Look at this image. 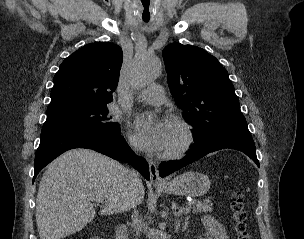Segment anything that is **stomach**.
Returning a JSON list of instances; mask_svg holds the SVG:
<instances>
[{"instance_id":"0dacf381","label":"stomach","mask_w":304,"mask_h":239,"mask_svg":"<svg viewBox=\"0 0 304 239\" xmlns=\"http://www.w3.org/2000/svg\"><path fill=\"white\" fill-rule=\"evenodd\" d=\"M209 177L201 172L189 171L174 177L161 186L167 194L197 197L204 195L210 188Z\"/></svg>"}]
</instances>
